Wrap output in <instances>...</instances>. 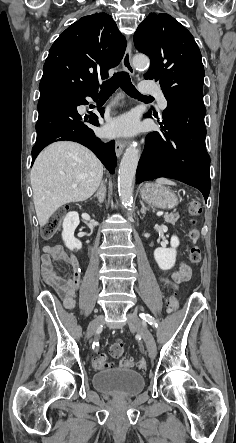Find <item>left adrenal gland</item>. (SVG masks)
Returning a JSON list of instances; mask_svg holds the SVG:
<instances>
[{"instance_id": "obj_1", "label": "left adrenal gland", "mask_w": 236, "mask_h": 443, "mask_svg": "<svg viewBox=\"0 0 236 443\" xmlns=\"http://www.w3.org/2000/svg\"><path fill=\"white\" fill-rule=\"evenodd\" d=\"M141 205H142L141 213H142L143 215H145V214H146V211L149 210V209H147V208L145 207V205H144L143 202H141Z\"/></svg>"}]
</instances>
